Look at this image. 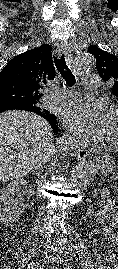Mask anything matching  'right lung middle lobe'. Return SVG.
<instances>
[{
    "label": "right lung middle lobe",
    "instance_id": "obj_1",
    "mask_svg": "<svg viewBox=\"0 0 118 269\" xmlns=\"http://www.w3.org/2000/svg\"><path fill=\"white\" fill-rule=\"evenodd\" d=\"M15 100L19 103H22V104H26V105H29V106H33V100L31 99H27V98H24V97H20V96H16L15 97Z\"/></svg>",
    "mask_w": 118,
    "mask_h": 269
}]
</instances>
